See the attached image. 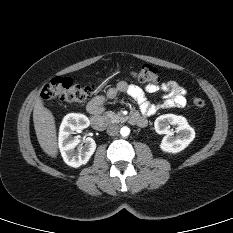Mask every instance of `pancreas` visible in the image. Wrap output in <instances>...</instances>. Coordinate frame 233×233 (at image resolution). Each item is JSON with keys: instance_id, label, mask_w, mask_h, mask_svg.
Instances as JSON below:
<instances>
[{"instance_id": "1", "label": "pancreas", "mask_w": 233, "mask_h": 233, "mask_svg": "<svg viewBox=\"0 0 233 233\" xmlns=\"http://www.w3.org/2000/svg\"><path fill=\"white\" fill-rule=\"evenodd\" d=\"M106 117L110 118L114 122H121L123 121V117L120 114H115L112 111H107L106 112Z\"/></svg>"}]
</instances>
